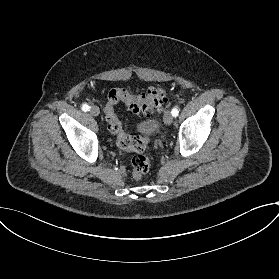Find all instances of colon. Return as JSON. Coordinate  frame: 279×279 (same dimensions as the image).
<instances>
[{
    "label": "colon",
    "mask_w": 279,
    "mask_h": 279,
    "mask_svg": "<svg viewBox=\"0 0 279 279\" xmlns=\"http://www.w3.org/2000/svg\"><path fill=\"white\" fill-rule=\"evenodd\" d=\"M168 100L167 90L162 87L149 88L142 93H133L126 88L115 87L109 90L104 105V116L109 122V130L116 136L117 145L123 151H145L149 137H132L125 132L121 119L115 111V105L123 102L133 113L144 115L159 111L161 105ZM150 168V160L146 156L137 155L132 159V172L135 178L145 175Z\"/></svg>",
    "instance_id": "obj_1"
}]
</instances>
